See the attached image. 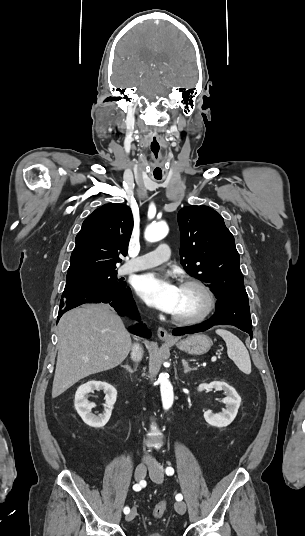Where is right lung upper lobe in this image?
<instances>
[{
    "label": "right lung upper lobe",
    "mask_w": 305,
    "mask_h": 536,
    "mask_svg": "<svg viewBox=\"0 0 305 536\" xmlns=\"http://www.w3.org/2000/svg\"><path fill=\"white\" fill-rule=\"evenodd\" d=\"M133 228L131 209L124 204H105L82 224L71 254L67 277L115 270L126 255Z\"/></svg>",
    "instance_id": "right-lung-upper-lobe-1"
}]
</instances>
